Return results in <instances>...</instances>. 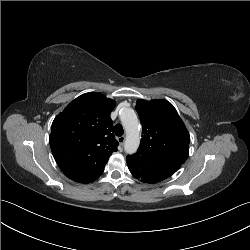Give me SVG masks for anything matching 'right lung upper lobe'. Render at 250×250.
<instances>
[{
    "mask_svg": "<svg viewBox=\"0 0 250 250\" xmlns=\"http://www.w3.org/2000/svg\"><path fill=\"white\" fill-rule=\"evenodd\" d=\"M115 101L101 93H85L70 102L52 123L49 142L60 169L70 179L90 183L117 151L110 113Z\"/></svg>",
    "mask_w": 250,
    "mask_h": 250,
    "instance_id": "right-lung-upper-lobe-1",
    "label": "right lung upper lobe"
}]
</instances>
